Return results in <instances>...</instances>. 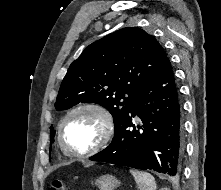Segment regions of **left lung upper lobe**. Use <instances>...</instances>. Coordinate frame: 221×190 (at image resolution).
Masks as SVG:
<instances>
[{"instance_id": "5c2ea615", "label": "left lung upper lobe", "mask_w": 221, "mask_h": 190, "mask_svg": "<svg viewBox=\"0 0 221 190\" xmlns=\"http://www.w3.org/2000/svg\"><path fill=\"white\" fill-rule=\"evenodd\" d=\"M166 58L162 46L140 28L111 33L90 44L71 63L55 108L66 110L80 102L98 103L112 114L117 125Z\"/></svg>"}]
</instances>
